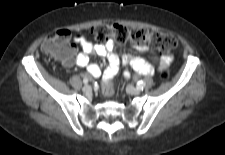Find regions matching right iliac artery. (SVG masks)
I'll return each mask as SVG.
<instances>
[{
  "instance_id": "82829eb1",
  "label": "right iliac artery",
  "mask_w": 225,
  "mask_h": 155,
  "mask_svg": "<svg viewBox=\"0 0 225 155\" xmlns=\"http://www.w3.org/2000/svg\"><path fill=\"white\" fill-rule=\"evenodd\" d=\"M83 83H84V84H87V83H88V79H87V78H84V79H83Z\"/></svg>"
}]
</instances>
